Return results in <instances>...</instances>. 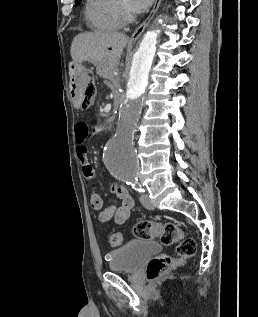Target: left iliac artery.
Wrapping results in <instances>:
<instances>
[{
    "label": "left iliac artery",
    "instance_id": "44dca946",
    "mask_svg": "<svg viewBox=\"0 0 258 317\" xmlns=\"http://www.w3.org/2000/svg\"><path fill=\"white\" fill-rule=\"evenodd\" d=\"M122 180L129 186H131L135 191L139 193H144L145 189L142 185L138 182L137 177H122Z\"/></svg>",
    "mask_w": 258,
    "mask_h": 317
}]
</instances>
